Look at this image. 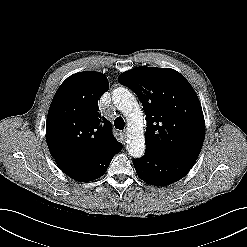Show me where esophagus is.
I'll use <instances>...</instances> for the list:
<instances>
[{"instance_id": "esophagus-1", "label": "esophagus", "mask_w": 247, "mask_h": 247, "mask_svg": "<svg viewBox=\"0 0 247 247\" xmlns=\"http://www.w3.org/2000/svg\"><path fill=\"white\" fill-rule=\"evenodd\" d=\"M126 134H127L126 131H120V135L123 141L126 139Z\"/></svg>"}]
</instances>
